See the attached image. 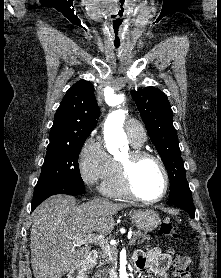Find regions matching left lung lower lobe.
Here are the masks:
<instances>
[{
    "mask_svg": "<svg viewBox=\"0 0 221 278\" xmlns=\"http://www.w3.org/2000/svg\"><path fill=\"white\" fill-rule=\"evenodd\" d=\"M167 204L176 205V206L182 208L183 210H185L190 215L191 218H195V208H194V204L192 201V194L181 195V196L167 202Z\"/></svg>",
    "mask_w": 221,
    "mask_h": 278,
    "instance_id": "left-lung-lower-lobe-1",
    "label": "left lung lower lobe"
}]
</instances>
